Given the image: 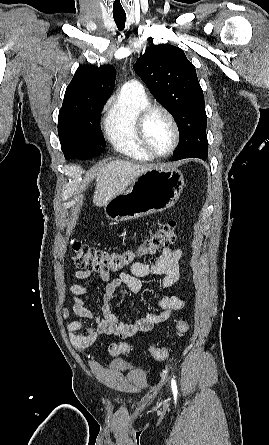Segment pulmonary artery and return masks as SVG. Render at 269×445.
<instances>
[{"label": "pulmonary artery", "mask_w": 269, "mask_h": 445, "mask_svg": "<svg viewBox=\"0 0 269 445\" xmlns=\"http://www.w3.org/2000/svg\"><path fill=\"white\" fill-rule=\"evenodd\" d=\"M123 87L132 88L138 91H144L143 86L136 80H130L126 82Z\"/></svg>", "instance_id": "1"}]
</instances>
